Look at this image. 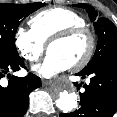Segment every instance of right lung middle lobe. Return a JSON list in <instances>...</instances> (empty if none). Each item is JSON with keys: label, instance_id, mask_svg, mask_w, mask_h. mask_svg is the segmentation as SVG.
Here are the masks:
<instances>
[{"label": "right lung middle lobe", "instance_id": "obj_1", "mask_svg": "<svg viewBox=\"0 0 117 117\" xmlns=\"http://www.w3.org/2000/svg\"><path fill=\"white\" fill-rule=\"evenodd\" d=\"M45 3L0 4V60L19 57L15 46V33L19 24Z\"/></svg>", "mask_w": 117, "mask_h": 117}]
</instances>
